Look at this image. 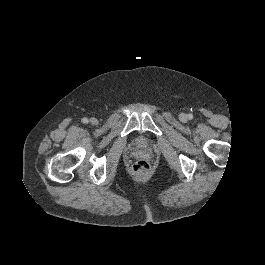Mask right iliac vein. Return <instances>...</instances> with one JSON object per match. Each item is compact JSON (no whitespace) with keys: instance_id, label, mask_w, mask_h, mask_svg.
<instances>
[{"instance_id":"obj_1","label":"right iliac vein","mask_w":265,"mask_h":265,"mask_svg":"<svg viewBox=\"0 0 265 265\" xmlns=\"http://www.w3.org/2000/svg\"><path fill=\"white\" fill-rule=\"evenodd\" d=\"M89 123L91 126H97L98 124V120L94 117H92L90 120H89Z\"/></svg>"}]
</instances>
